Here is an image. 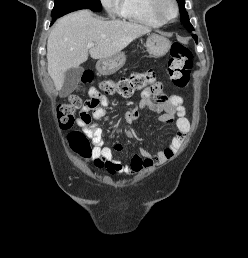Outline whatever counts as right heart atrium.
<instances>
[{
	"label": "right heart atrium",
	"mask_w": 248,
	"mask_h": 258,
	"mask_svg": "<svg viewBox=\"0 0 248 258\" xmlns=\"http://www.w3.org/2000/svg\"><path fill=\"white\" fill-rule=\"evenodd\" d=\"M102 6L105 8L110 16L121 14L122 0H100Z\"/></svg>",
	"instance_id": "d8ad5b80"
}]
</instances>
